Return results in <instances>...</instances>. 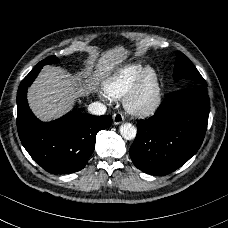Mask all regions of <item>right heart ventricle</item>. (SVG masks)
Instances as JSON below:
<instances>
[{
  "label": "right heart ventricle",
  "instance_id": "obj_1",
  "mask_svg": "<svg viewBox=\"0 0 228 228\" xmlns=\"http://www.w3.org/2000/svg\"><path fill=\"white\" fill-rule=\"evenodd\" d=\"M147 69V65L138 62L121 66L104 83L105 97L110 100H118L127 96Z\"/></svg>",
  "mask_w": 228,
  "mask_h": 228
}]
</instances>
